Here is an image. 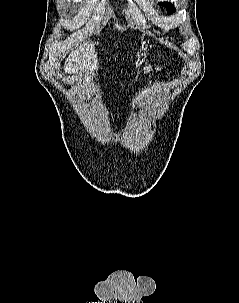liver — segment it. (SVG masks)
<instances>
[{
	"instance_id": "1",
	"label": "liver",
	"mask_w": 239,
	"mask_h": 303,
	"mask_svg": "<svg viewBox=\"0 0 239 303\" xmlns=\"http://www.w3.org/2000/svg\"><path fill=\"white\" fill-rule=\"evenodd\" d=\"M98 59L95 47L90 42H85L73 50L67 58L64 70L69 74L68 79L73 81L77 79L79 71L83 70L90 77L95 76L98 70Z\"/></svg>"
}]
</instances>
